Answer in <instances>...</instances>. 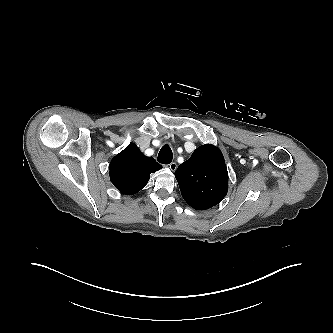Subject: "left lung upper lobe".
Masks as SVG:
<instances>
[{"instance_id": "1", "label": "left lung upper lobe", "mask_w": 333, "mask_h": 333, "mask_svg": "<svg viewBox=\"0 0 333 333\" xmlns=\"http://www.w3.org/2000/svg\"><path fill=\"white\" fill-rule=\"evenodd\" d=\"M183 199L196 210L217 205L228 191V172L221 151L210 144L198 147L175 171Z\"/></svg>"}]
</instances>
